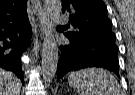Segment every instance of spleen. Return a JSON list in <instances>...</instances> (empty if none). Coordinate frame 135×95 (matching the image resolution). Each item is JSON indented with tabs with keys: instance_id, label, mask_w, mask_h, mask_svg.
<instances>
[{
	"instance_id": "obj_1",
	"label": "spleen",
	"mask_w": 135,
	"mask_h": 95,
	"mask_svg": "<svg viewBox=\"0 0 135 95\" xmlns=\"http://www.w3.org/2000/svg\"><path fill=\"white\" fill-rule=\"evenodd\" d=\"M68 82L78 90L79 95H122L121 87L114 76L101 68L72 72Z\"/></svg>"
}]
</instances>
